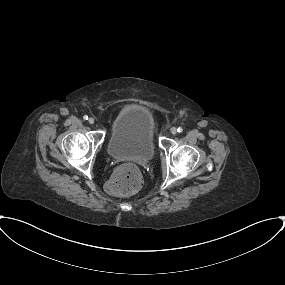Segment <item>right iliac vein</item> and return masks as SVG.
<instances>
[{
    "label": "right iliac vein",
    "mask_w": 285,
    "mask_h": 285,
    "mask_svg": "<svg viewBox=\"0 0 285 285\" xmlns=\"http://www.w3.org/2000/svg\"><path fill=\"white\" fill-rule=\"evenodd\" d=\"M88 122H89V124H94L95 120H94V118L91 117V118H89Z\"/></svg>",
    "instance_id": "obj_1"
}]
</instances>
